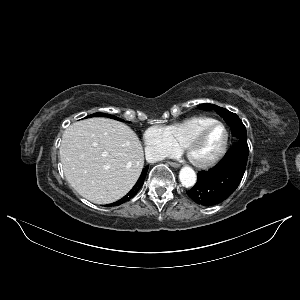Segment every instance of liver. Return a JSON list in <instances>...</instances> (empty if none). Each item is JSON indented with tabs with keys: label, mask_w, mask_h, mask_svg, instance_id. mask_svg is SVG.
Instances as JSON below:
<instances>
[{
	"label": "liver",
	"mask_w": 300,
	"mask_h": 300,
	"mask_svg": "<svg viewBox=\"0 0 300 300\" xmlns=\"http://www.w3.org/2000/svg\"><path fill=\"white\" fill-rule=\"evenodd\" d=\"M59 153L69 184L96 204L125 196L144 166L143 148L135 132L109 118L71 124L63 133Z\"/></svg>",
	"instance_id": "1"
}]
</instances>
